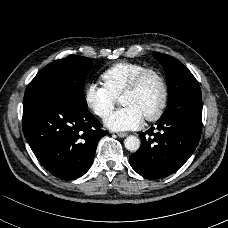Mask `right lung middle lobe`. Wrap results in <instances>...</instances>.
<instances>
[{"label":"right lung middle lobe","instance_id":"dd1d6c3e","mask_svg":"<svg viewBox=\"0 0 228 228\" xmlns=\"http://www.w3.org/2000/svg\"><path fill=\"white\" fill-rule=\"evenodd\" d=\"M92 60L87 57L70 55L44 67L26 88L25 96L38 93L63 95L87 107L84 84Z\"/></svg>","mask_w":228,"mask_h":228}]
</instances>
